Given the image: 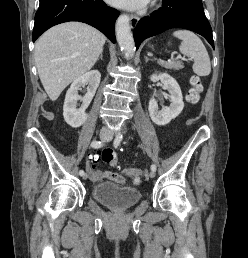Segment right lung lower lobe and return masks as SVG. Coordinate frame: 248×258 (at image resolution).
<instances>
[{"instance_id":"right-lung-lower-lobe-1","label":"right lung lower lobe","mask_w":248,"mask_h":258,"mask_svg":"<svg viewBox=\"0 0 248 258\" xmlns=\"http://www.w3.org/2000/svg\"><path fill=\"white\" fill-rule=\"evenodd\" d=\"M119 12L102 0H40L35 15L33 42L47 29L67 21L92 25L115 43L114 25Z\"/></svg>"}]
</instances>
